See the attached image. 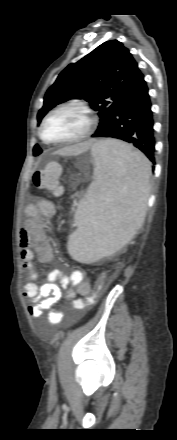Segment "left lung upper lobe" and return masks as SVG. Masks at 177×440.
<instances>
[{
	"mask_svg": "<svg viewBox=\"0 0 177 440\" xmlns=\"http://www.w3.org/2000/svg\"><path fill=\"white\" fill-rule=\"evenodd\" d=\"M142 76L128 48L117 40L104 42L76 63L69 64L48 89L37 119L57 104L70 99H84L98 111V128L115 112ZM42 152L38 145L34 156Z\"/></svg>",
	"mask_w": 177,
	"mask_h": 440,
	"instance_id": "obj_1",
	"label": "left lung upper lobe"
}]
</instances>
